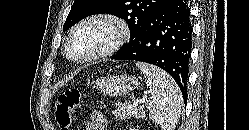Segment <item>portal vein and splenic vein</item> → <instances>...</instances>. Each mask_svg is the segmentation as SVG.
<instances>
[{
    "mask_svg": "<svg viewBox=\"0 0 249 130\" xmlns=\"http://www.w3.org/2000/svg\"><path fill=\"white\" fill-rule=\"evenodd\" d=\"M144 101H145L144 99H137V100L134 99V100L132 101V105L136 107V106H138V104H141V103H143Z\"/></svg>",
    "mask_w": 249,
    "mask_h": 130,
    "instance_id": "obj_1",
    "label": "portal vein and splenic vein"
}]
</instances>
